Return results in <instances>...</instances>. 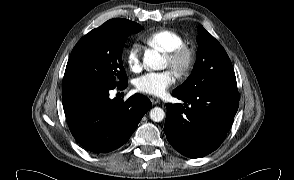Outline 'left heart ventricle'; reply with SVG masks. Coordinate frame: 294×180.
Segmentation results:
<instances>
[{"label":"left heart ventricle","mask_w":294,"mask_h":180,"mask_svg":"<svg viewBox=\"0 0 294 180\" xmlns=\"http://www.w3.org/2000/svg\"><path fill=\"white\" fill-rule=\"evenodd\" d=\"M166 63H167V65H169V60H168V58L166 59Z\"/></svg>","instance_id":"obj_1"}]
</instances>
